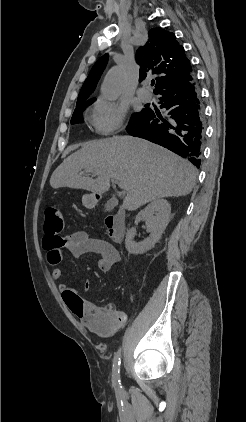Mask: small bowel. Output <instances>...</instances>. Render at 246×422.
I'll return each mask as SVG.
<instances>
[{
	"label": "small bowel",
	"instance_id": "c3829d8e",
	"mask_svg": "<svg viewBox=\"0 0 246 422\" xmlns=\"http://www.w3.org/2000/svg\"><path fill=\"white\" fill-rule=\"evenodd\" d=\"M43 247L47 252V261L55 266L52 278L60 280L63 269L58 266L67 250L75 257L86 253L99 255L97 266L101 271H108L120 259L118 250L108 241L90 236L86 231H77L65 237L47 234L43 238ZM90 288L89 281H85L84 290ZM63 301L81 322L92 332L102 336H109L122 328L126 323V315L111 304L100 308L90 301L83 300L77 291L67 283L59 286Z\"/></svg>",
	"mask_w": 246,
	"mask_h": 422
}]
</instances>
